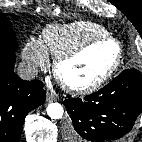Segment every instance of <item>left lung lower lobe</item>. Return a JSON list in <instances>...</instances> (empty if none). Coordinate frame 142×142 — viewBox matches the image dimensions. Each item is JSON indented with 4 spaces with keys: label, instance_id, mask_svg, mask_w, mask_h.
Returning a JSON list of instances; mask_svg holds the SVG:
<instances>
[{
    "label": "left lung lower lobe",
    "instance_id": "obj_1",
    "mask_svg": "<svg viewBox=\"0 0 142 142\" xmlns=\"http://www.w3.org/2000/svg\"><path fill=\"white\" fill-rule=\"evenodd\" d=\"M64 105L71 118L68 142H120L142 110V75L136 69L124 70L84 100L72 98Z\"/></svg>",
    "mask_w": 142,
    "mask_h": 142
}]
</instances>
